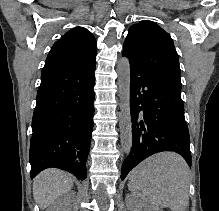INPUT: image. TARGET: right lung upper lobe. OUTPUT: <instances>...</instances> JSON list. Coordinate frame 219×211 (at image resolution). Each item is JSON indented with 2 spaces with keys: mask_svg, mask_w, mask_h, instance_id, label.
<instances>
[{
  "mask_svg": "<svg viewBox=\"0 0 219 211\" xmlns=\"http://www.w3.org/2000/svg\"><path fill=\"white\" fill-rule=\"evenodd\" d=\"M96 48L94 36L88 30L76 27L53 45L45 66L85 65L95 62Z\"/></svg>",
  "mask_w": 219,
  "mask_h": 211,
  "instance_id": "1",
  "label": "right lung upper lobe"
}]
</instances>
